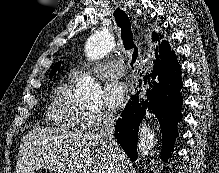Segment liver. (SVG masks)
<instances>
[{"instance_id":"obj_1","label":"liver","mask_w":219,"mask_h":173,"mask_svg":"<svg viewBox=\"0 0 219 173\" xmlns=\"http://www.w3.org/2000/svg\"><path fill=\"white\" fill-rule=\"evenodd\" d=\"M108 156V146L98 134L37 127L22 138L16 173H35L40 168L57 173H109ZM124 159L119 149L117 173Z\"/></svg>"}]
</instances>
